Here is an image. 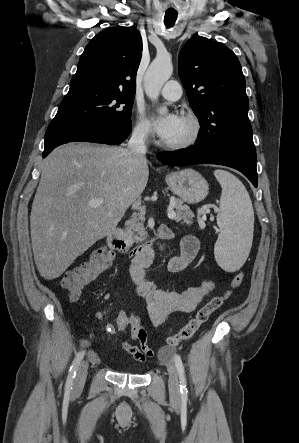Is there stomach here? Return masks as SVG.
Returning a JSON list of instances; mask_svg holds the SVG:
<instances>
[{
  "mask_svg": "<svg viewBox=\"0 0 299 443\" xmlns=\"http://www.w3.org/2000/svg\"><path fill=\"white\" fill-rule=\"evenodd\" d=\"M165 180L171 191L188 204L202 201L209 191L205 178L191 168L171 172L166 175Z\"/></svg>",
  "mask_w": 299,
  "mask_h": 443,
  "instance_id": "stomach-1",
  "label": "stomach"
}]
</instances>
